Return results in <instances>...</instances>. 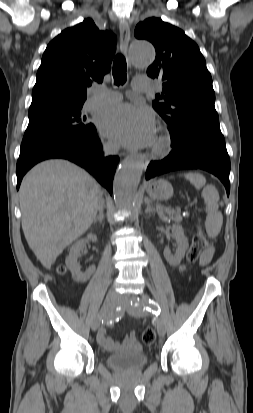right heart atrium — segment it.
<instances>
[{"mask_svg": "<svg viewBox=\"0 0 253 413\" xmlns=\"http://www.w3.org/2000/svg\"><path fill=\"white\" fill-rule=\"evenodd\" d=\"M106 148H107L108 151H113V150L115 149V146H114L113 144H111V143H108V144L106 145Z\"/></svg>", "mask_w": 253, "mask_h": 413, "instance_id": "obj_1", "label": "right heart atrium"}]
</instances>
